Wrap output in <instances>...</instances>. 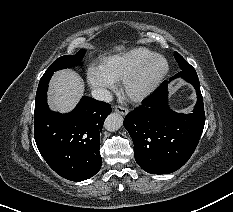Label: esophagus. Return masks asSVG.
<instances>
[{"mask_svg":"<svg viewBox=\"0 0 233 212\" xmlns=\"http://www.w3.org/2000/svg\"><path fill=\"white\" fill-rule=\"evenodd\" d=\"M114 111L122 115H126L129 112L128 108L120 106V105L115 106Z\"/></svg>","mask_w":233,"mask_h":212,"instance_id":"obj_1","label":"esophagus"}]
</instances>
